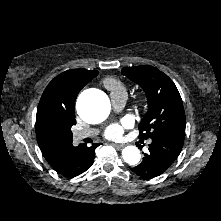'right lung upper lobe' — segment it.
Wrapping results in <instances>:
<instances>
[{
	"mask_svg": "<svg viewBox=\"0 0 221 221\" xmlns=\"http://www.w3.org/2000/svg\"><path fill=\"white\" fill-rule=\"evenodd\" d=\"M98 71L71 69L56 76L44 90L36 115V136L48 162L72 145L71 127L76 124L75 100Z\"/></svg>",
	"mask_w": 221,
	"mask_h": 221,
	"instance_id": "right-lung-upper-lobe-1",
	"label": "right lung upper lobe"
}]
</instances>
